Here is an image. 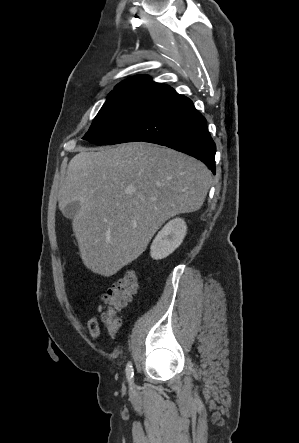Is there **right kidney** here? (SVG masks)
<instances>
[{
  "label": "right kidney",
  "mask_w": 299,
  "mask_h": 443,
  "mask_svg": "<svg viewBox=\"0 0 299 443\" xmlns=\"http://www.w3.org/2000/svg\"><path fill=\"white\" fill-rule=\"evenodd\" d=\"M187 232L183 219L175 218L169 221L156 235L151 244V257L159 260L169 256L179 245Z\"/></svg>",
  "instance_id": "obj_1"
}]
</instances>
